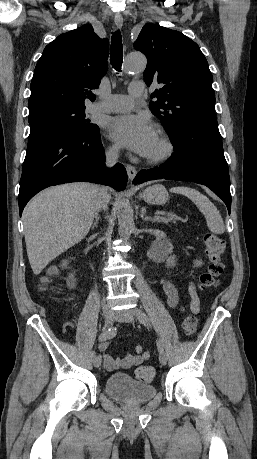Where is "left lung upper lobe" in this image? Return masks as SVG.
Segmentation results:
<instances>
[{"mask_svg": "<svg viewBox=\"0 0 257 459\" xmlns=\"http://www.w3.org/2000/svg\"><path fill=\"white\" fill-rule=\"evenodd\" d=\"M134 48L147 57L144 80L162 84L151 97L152 113L169 136L182 123L215 117L213 77L199 46L181 32L155 24L143 26Z\"/></svg>", "mask_w": 257, "mask_h": 459, "instance_id": "obj_1", "label": "left lung upper lobe"}]
</instances>
